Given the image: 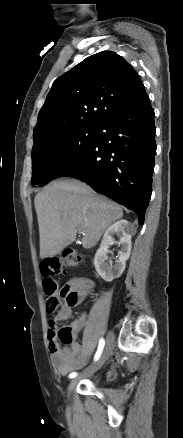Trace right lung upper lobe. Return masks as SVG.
I'll return each instance as SVG.
<instances>
[{
    "mask_svg": "<svg viewBox=\"0 0 183 438\" xmlns=\"http://www.w3.org/2000/svg\"><path fill=\"white\" fill-rule=\"evenodd\" d=\"M146 95L139 75L123 57L99 52L54 81L39 112L33 139L69 128L99 126Z\"/></svg>",
    "mask_w": 183,
    "mask_h": 438,
    "instance_id": "obj_1",
    "label": "right lung upper lobe"
}]
</instances>
